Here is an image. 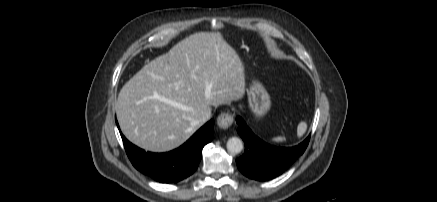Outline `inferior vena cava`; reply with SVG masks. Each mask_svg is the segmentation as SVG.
Wrapping results in <instances>:
<instances>
[{
  "instance_id": "obj_1",
  "label": "inferior vena cava",
  "mask_w": 437,
  "mask_h": 202,
  "mask_svg": "<svg viewBox=\"0 0 437 202\" xmlns=\"http://www.w3.org/2000/svg\"><path fill=\"white\" fill-rule=\"evenodd\" d=\"M211 118V112H203L199 121L200 123L204 124L205 122H207L209 119Z\"/></svg>"
}]
</instances>
